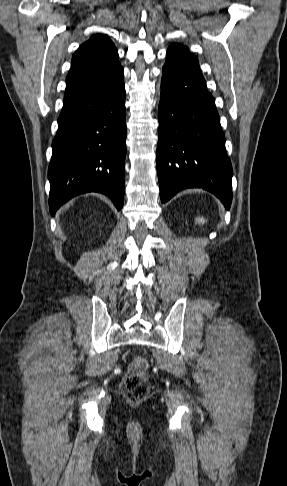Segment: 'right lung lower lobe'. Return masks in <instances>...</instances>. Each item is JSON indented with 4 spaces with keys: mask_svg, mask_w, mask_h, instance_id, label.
<instances>
[{
    "mask_svg": "<svg viewBox=\"0 0 287 486\" xmlns=\"http://www.w3.org/2000/svg\"><path fill=\"white\" fill-rule=\"evenodd\" d=\"M126 130L123 76L64 101L48 168L51 215L86 192L123 207Z\"/></svg>",
    "mask_w": 287,
    "mask_h": 486,
    "instance_id": "98d812e1",
    "label": "right lung lower lobe"
}]
</instances>
